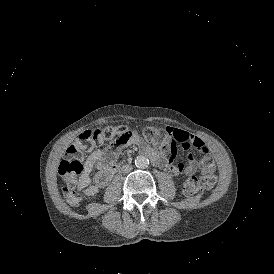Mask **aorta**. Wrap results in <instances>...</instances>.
<instances>
[{
	"mask_svg": "<svg viewBox=\"0 0 274 274\" xmlns=\"http://www.w3.org/2000/svg\"><path fill=\"white\" fill-rule=\"evenodd\" d=\"M149 165V160L145 156H137L135 159V166L138 168H146Z\"/></svg>",
	"mask_w": 274,
	"mask_h": 274,
	"instance_id": "aorta-1",
	"label": "aorta"
}]
</instances>
